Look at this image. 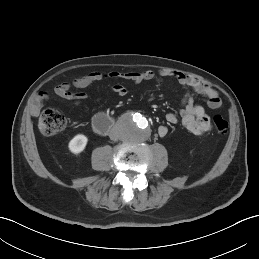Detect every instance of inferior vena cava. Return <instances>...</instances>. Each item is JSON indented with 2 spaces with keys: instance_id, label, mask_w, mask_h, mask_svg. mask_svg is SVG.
<instances>
[{
  "instance_id": "602c4592",
  "label": "inferior vena cava",
  "mask_w": 259,
  "mask_h": 259,
  "mask_svg": "<svg viewBox=\"0 0 259 259\" xmlns=\"http://www.w3.org/2000/svg\"><path fill=\"white\" fill-rule=\"evenodd\" d=\"M119 138H120V135H119V133H117L116 131H112V132L110 133V139H111V140L116 141V140H118Z\"/></svg>"
}]
</instances>
